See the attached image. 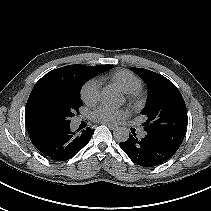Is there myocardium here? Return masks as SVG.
<instances>
[{"mask_svg":"<svg viewBox=\"0 0 211 211\" xmlns=\"http://www.w3.org/2000/svg\"><path fill=\"white\" fill-rule=\"evenodd\" d=\"M129 100L131 101H137L140 97V92L139 91H134L131 93H127Z\"/></svg>","mask_w":211,"mask_h":211,"instance_id":"obj_1","label":"myocardium"}]
</instances>
